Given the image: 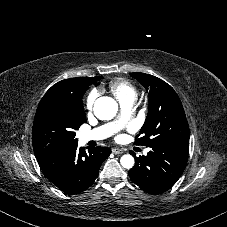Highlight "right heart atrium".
<instances>
[{"label": "right heart atrium", "mask_w": 227, "mask_h": 227, "mask_svg": "<svg viewBox=\"0 0 227 227\" xmlns=\"http://www.w3.org/2000/svg\"><path fill=\"white\" fill-rule=\"evenodd\" d=\"M97 96H98V94L95 90H92L87 94L86 99H85L86 110L91 111L93 109Z\"/></svg>", "instance_id": "obj_1"}]
</instances>
